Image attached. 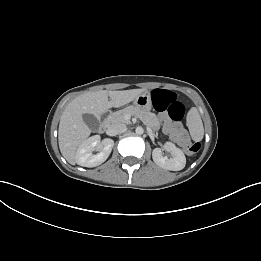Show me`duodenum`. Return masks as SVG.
<instances>
[{
	"label": "duodenum",
	"mask_w": 261,
	"mask_h": 261,
	"mask_svg": "<svg viewBox=\"0 0 261 261\" xmlns=\"http://www.w3.org/2000/svg\"><path fill=\"white\" fill-rule=\"evenodd\" d=\"M106 127H107L106 122H105V121H102V122L100 123L99 130L102 132V131H104V130L106 129Z\"/></svg>",
	"instance_id": "obj_1"
}]
</instances>
